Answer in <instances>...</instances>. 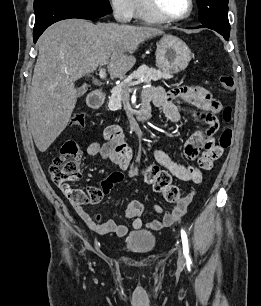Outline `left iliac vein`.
Returning a JSON list of instances; mask_svg holds the SVG:
<instances>
[{
	"instance_id": "obj_1",
	"label": "left iliac vein",
	"mask_w": 261,
	"mask_h": 306,
	"mask_svg": "<svg viewBox=\"0 0 261 306\" xmlns=\"http://www.w3.org/2000/svg\"><path fill=\"white\" fill-rule=\"evenodd\" d=\"M178 255H179V257H178V263H179L180 265H183L184 262H185V259H184V256H183V254H182L181 248L179 249Z\"/></svg>"
}]
</instances>
